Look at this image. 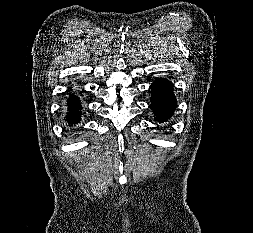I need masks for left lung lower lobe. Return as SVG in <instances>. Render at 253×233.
<instances>
[{
  "instance_id": "left-lung-lower-lobe-1",
  "label": "left lung lower lobe",
  "mask_w": 253,
  "mask_h": 233,
  "mask_svg": "<svg viewBox=\"0 0 253 233\" xmlns=\"http://www.w3.org/2000/svg\"><path fill=\"white\" fill-rule=\"evenodd\" d=\"M172 84L166 79H157L151 85V105L156 120L159 122L169 119L176 107V98L172 92Z\"/></svg>"
}]
</instances>
